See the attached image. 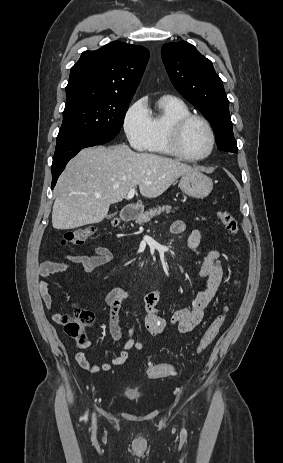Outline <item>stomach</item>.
Masks as SVG:
<instances>
[{
    "label": "stomach",
    "mask_w": 283,
    "mask_h": 463,
    "mask_svg": "<svg viewBox=\"0 0 283 463\" xmlns=\"http://www.w3.org/2000/svg\"><path fill=\"white\" fill-rule=\"evenodd\" d=\"M179 187L187 196L203 199L211 193L213 181L210 177L197 171L183 175L180 178Z\"/></svg>",
    "instance_id": "stomach-1"
}]
</instances>
